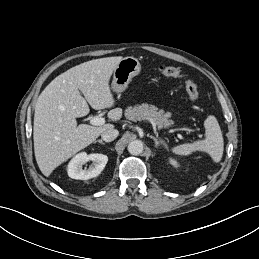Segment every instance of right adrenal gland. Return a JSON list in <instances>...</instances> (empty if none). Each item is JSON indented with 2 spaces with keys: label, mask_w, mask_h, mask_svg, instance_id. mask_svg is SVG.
I'll use <instances>...</instances> for the list:
<instances>
[{
  "label": "right adrenal gland",
  "mask_w": 259,
  "mask_h": 259,
  "mask_svg": "<svg viewBox=\"0 0 259 259\" xmlns=\"http://www.w3.org/2000/svg\"><path fill=\"white\" fill-rule=\"evenodd\" d=\"M100 143V144H102V145H105V142H103L102 140H96V141H94V143Z\"/></svg>",
  "instance_id": "1"
}]
</instances>
